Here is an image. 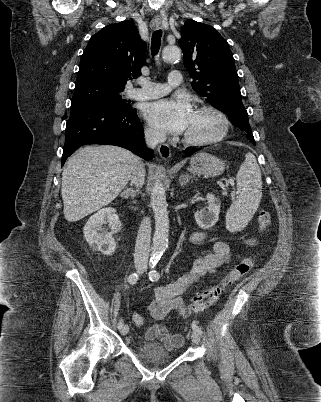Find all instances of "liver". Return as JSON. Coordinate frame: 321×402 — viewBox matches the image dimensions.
<instances>
[{"label":"liver","mask_w":321,"mask_h":402,"mask_svg":"<svg viewBox=\"0 0 321 402\" xmlns=\"http://www.w3.org/2000/svg\"><path fill=\"white\" fill-rule=\"evenodd\" d=\"M139 157L112 145L85 146L62 173L64 217L76 222L111 203L127 185Z\"/></svg>","instance_id":"1"}]
</instances>
